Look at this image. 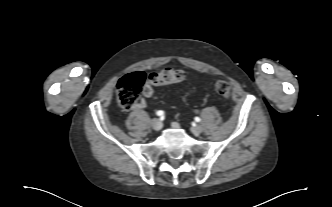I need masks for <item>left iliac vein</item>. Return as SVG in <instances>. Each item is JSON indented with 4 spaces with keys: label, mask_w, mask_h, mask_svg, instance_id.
Segmentation results:
<instances>
[{
    "label": "left iliac vein",
    "mask_w": 332,
    "mask_h": 207,
    "mask_svg": "<svg viewBox=\"0 0 332 207\" xmlns=\"http://www.w3.org/2000/svg\"><path fill=\"white\" fill-rule=\"evenodd\" d=\"M191 131L193 134L198 135L203 131V128L200 125H195L191 127Z\"/></svg>",
    "instance_id": "left-iliac-vein-1"
}]
</instances>
